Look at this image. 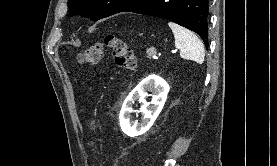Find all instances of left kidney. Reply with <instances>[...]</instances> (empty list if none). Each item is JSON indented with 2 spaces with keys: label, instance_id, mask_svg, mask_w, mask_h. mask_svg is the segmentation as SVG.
Segmentation results:
<instances>
[{
  "label": "left kidney",
  "instance_id": "1",
  "mask_svg": "<svg viewBox=\"0 0 277 166\" xmlns=\"http://www.w3.org/2000/svg\"><path fill=\"white\" fill-rule=\"evenodd\" d=\"M147 91L152 92L151 103H148L145 99L148 96ZM168 92L169 85L161 77L150 75L143 79L123 102L119 115L121 130L130 137L139 136L148 131L160 114L167 99ZM135 101L142 103L140 112L143 118L140 123L134 121L130 115L134 111L133 104Z\"/></svg>",
  "mask_w": 277,
  "mask_h": 166
}]
</instances>
